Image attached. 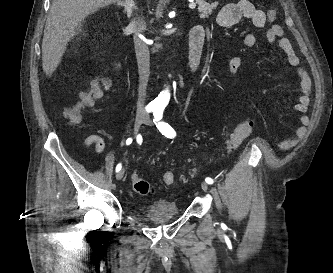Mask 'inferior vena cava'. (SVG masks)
Returning a JSON list of instances; mask_svg holds the SVG:
<instances>
[{
	"instance_id": "obj_1",
	"label": "inferior vena cava",
	"mask_w": 333,
	"mask_h": 273,
	"mask_svg": "<svg viewBox=\"0 0 333 273\" xmlns=\"http://www.w3.org/2000/svg\"><path fill=\"white\" fill-rule=\"evenodd\" d=\"M130 26L134 30V46L139 71L137 112H144L146 89L150 74L149 50L148 46L139 39L138 34L146 29V24L142 18H138L137 20H132Z\"/></svg>"
}]
</instances>
